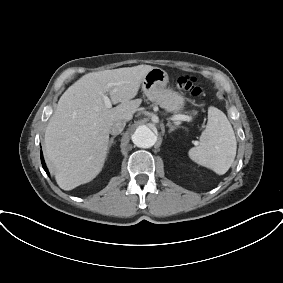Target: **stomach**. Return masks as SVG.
<instances>
[{"label":"stomach","instance_id":"obj_1","mask_svg":"<svg viewBox=\"0 0 283 283\" xmlns=\"http://www.w3.org/2000/svg\"><path fill=\"white\" fill-rule=\"evenodd\" d=\"M169 82L165 70L154 67L142 80V90L147 98L158 104L161 108L171 113H179L184 109V96L167 87Z\"/></svg>","mask_w":283,"mask_h":283}]
</instances>
